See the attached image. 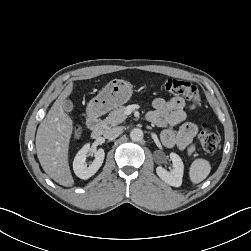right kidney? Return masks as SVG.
Segmentation results:
<instances>
[{"label":"right kidney","instance_id":"ca27d5eb","mask_svg":"<svg viewBox=\"0 0 251 251\" xmlns=\"http://www.w3.org/2000/svg\"><path fill=\"white\" fill-rule=\"evenodd\" d=\"M90 151H91L90 145L89 144L84 145L78 151L73 161L74 173L76 174L77 177L83 180L90 178L98 171L105 157L104 150L102 148H99L95 152L94 161L89 166H87L86 159Z\"/></svg>","mask_w":251,"mask_h":251}]
</instances>
